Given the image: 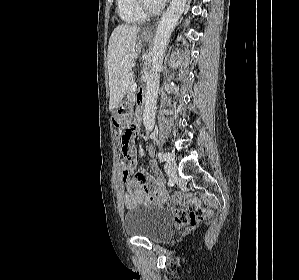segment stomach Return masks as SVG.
I'll return each instance as SVG.
<instances>
[{
    "label": "stomach",
    "mask_w": 299,
    "mask_h": 280,
    "mask_svg": "<svg viewBox=\"0 0 299 280\" xmlns=\"http://www.w3.org/2000/svg\"><path fill=\"white\" fill-rule=\"evenodd\" d=\"M141 39L145 42L149 41L151 38L149 36L142 35ZM129 101H122L113 111L112 117L115 126L119 128H123L129 121V109H130Z\"/></svg>",
    "instance_id": "0dacf381"
}]
</instances>
